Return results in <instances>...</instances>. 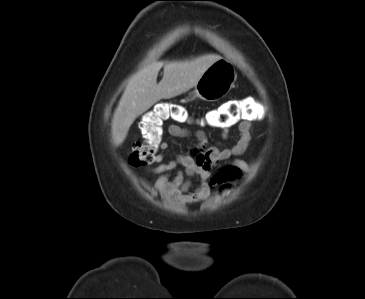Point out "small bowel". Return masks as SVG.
<instances>
[{"label":"small bowel","instance_id":"obj_1","mask_svg":"<svg viewBox=\"0 0 365 299\" xmlns=\"http://www.w3.org/2000/svg\"><path fill=\"white\" fill-rule=\"evenodd\" d=\"M254 120L256 117L252 116L250 119L241 120L238 123L240 138L234 146L227 148L212 145L203 132L191 134L179 125L170 124L167 128L170 136L185 138L193 135L196 138V144L188 154H180L168 162H162L164 159L162 154L157 155L155 159L157 165L148 169L151 173L159 176L154 185L155 190L170 200L187 205L205 198L209 194L211 186L238 180L242 173L251 170L252 165L250 163L244 160H235L219 171L213 172L212 168L219 162L239 157L245 153L252 140ZM228 136L229 126L221 128V137L226 139ZM167 147L168 144L165 141L160 145L162 150ZM177 166H182L186 175L196 177L199 180V184L193 191L190 190V181L185 179L182 171L172 174Z\"/></svg>","mask_w":365,"mask_h":299}]
</instances>
